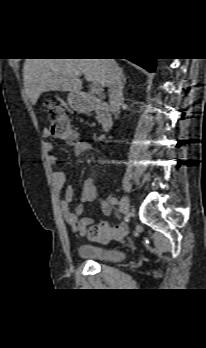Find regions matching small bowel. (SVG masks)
Instances as JSON below:
<instances>
[{"label": "small bowel", "instance_id": "obj_1", "mask_svg": "<svg viewBox=\"0 0 206 348\" xmlns=\"http://www.w3.org/2000/svg\"><path fill=\"white\" fill-rule=\"evenodd\" d=\"M44 138L50 136L48 129H44L42 132ZM74 155L77 159L81 158L83 154L92 149V146L88 142L78 141L74 143ZM44 149L47 154V161L52 171V178L55 187L61 191L65 186V177L64 174L60 171L55 170L57 166V159L53 155L54 146L50 142H45ZM97 195L96 187L92 178H87L82 183V191L79 197V203L74 205L76 200L75 189L73 186H68L64 191V197L61 200L60 207L63 214V217L74 232L84 234L86 229L93 225L94 219L91 217H82L80 215L84 212V203L93 200ZM101 210L105 215H110L112 211V204L108 201L101 202Z\"/></svg>", "mask_w": 206, "mask_h": 348}]
</instances>
